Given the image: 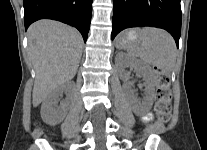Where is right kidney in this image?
Here are the masks:
<instances>
[{
  "label": "right kidney",
  "mask_w": 207,
  "mask_h": 150,
  "mask_svg": "<svg viewBox=\"0 0 207 150\" xmlns=\"http://www.w3.org/2000/svg\"><path fill=\"white\" fill-rule=\"evenodd\" d=\"M69 87L61 85L54 89L47 98L43 101L41 106V117L43 121L49 125H56L63 121L65 118L69 103L68 101L62 102L60 106H56L59 96L63 93H67Z\"/></svg>",
  "instance_id": "obj_1"
}]
</instances>
